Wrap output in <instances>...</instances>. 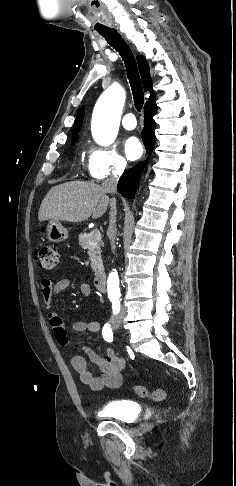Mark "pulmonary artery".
Here are the masks:
<instances>
[{
    "label": "pulmonary artery",
    "mask_w": 236,
    "mask_h": 486,
    "mask_svg": "<svg viewBox=\"0 0 236 486\" xmlns=\"http://www.w3.org/2000/svg\"><path fill=\"white\" fill-rule=\"evenodd\" d=\"M122 125L127 130H132L136 127L137 122L133 113H127L122 118Z\"/></svg>",
    "instance_id": "1"
}]
</instances>
